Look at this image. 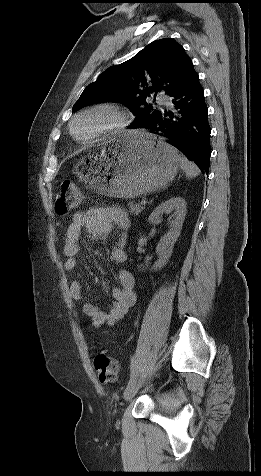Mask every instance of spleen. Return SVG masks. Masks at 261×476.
I'll return each instance as SVG.
<instances>
[{
  "instance_id": "obj_1",
  "label": "spleen",
  "mask_w": 261,
  "mask_h": 476,
  "mask_svg": "<svg viewBox=\"0 0 261 476\" xmlns=\"http://www.w3.org/2000/svg\"><path fill=\"white\" fill-rule=\"evenodd\" d=\"M179 162H180L181 169L186 173V176L188 178H193L198 176L200 170L193 162H190L183 155H179Z\"/></svg>"
}]
</instances>
